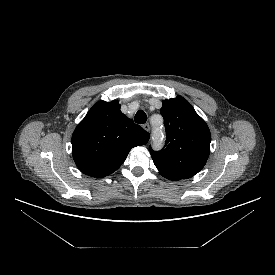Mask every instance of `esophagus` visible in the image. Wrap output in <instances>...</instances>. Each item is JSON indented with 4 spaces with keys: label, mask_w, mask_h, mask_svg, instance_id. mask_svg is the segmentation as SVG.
Wrapping results in <instances>:
<instances>
[{
    "label": "esophagus",
    "mask_w": 275,
    "mask_h": 275,
    "mask_svg": "<svg viewBox=\"0 0 275 275\" xmlns=\"http://www.w3.org/2000/svg\"><path fill=\"white\" fill-rule=\"evenodd\" d=\"M144 130H146L147 132H150V125L148 123L143 125Z\"/></svg>",
    "instance_id": "obj_1"
}]
</instances>
